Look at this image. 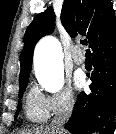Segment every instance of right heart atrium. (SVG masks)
<instances>
[{
    "mask_svg": "<svg viewBox=\"0 0 116 134\" xmlns=\"http://www.w3.org/2000/svg\"><path fill=\"white\" fill-rule=\"evenodd\" d=\"M43 98L49 116L68 113L75 104L74 94L69 87L62 88L48 96H43Z\"/></svg>",
    "mask_w": 116,
    "mask_h": 134,
    "instance_id": "right-heart-atrium-1",
    "label": "right heart atrium"
}]
</instances>
